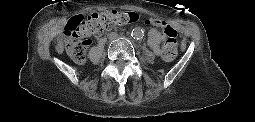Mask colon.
I'll use <instances>...</instances> for the list:
<instances>
[{
	"mask_svg": "<svg viewBox=\"0 0 255 122\" xmlns=\"http://www.w3.org/2000/svg\"><path fill=\"white\" fill-rule=\"evenodd\" d=\"M139 19L138 13L128 11H106L77 16L66 25L62 32L67 53L73 61L82 63L85 61L92 36L110 30L117 25L138 22ZM144 22L147 25L152 24L150 19H146ZM160 28L168 37L162 47V56L165 60H173L178 54L177 32L167 25H160Z\"/></svg>",
	"mask_w": 255,
	"mask_h": 122,
	"instance_id": "colon-1",
	"label": "colon"
}]
</instances>
